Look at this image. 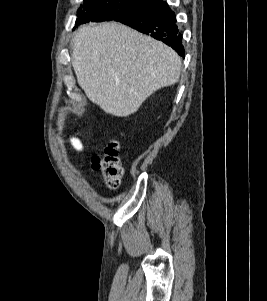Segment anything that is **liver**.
I'll list each match as a JSON object with an SVG mask.
<instances>
[{"label": "liver", "instance_id": "obj_1", "mask_svg": "<svg viewBox=\"0 0 267 301\" xmlns=\"http://www.w3.org/2000/svg\"><path fill=\"white\" fill-rule=\"evenodd\" d=\"M77 82L104 112L127 117L155 91L175 84L181 58L170 47L125 25H82L72 39Z\"/></svg>", "mask_w": 267, "mask_h": 301}]
</instances>
